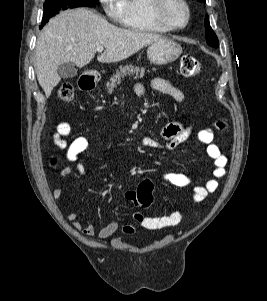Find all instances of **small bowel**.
I'll return each instance as SVG.
<instances>
[{
	"label": "small bowel",
	"instance_id": "obj_1",
	"mask_svg": "<svg viewBox=\"0 0 267 301\" xmlns=\"http://www.w3.org/2000/svg\"><path fill=\"white\" fill-rule=\"evenodd\" d=\"M149 86L162 94L168 95L176 102L184 100V93L174 83L164 78H154L150 80ZM134 90L137 95L142 96L146 92V84L139 82L135 85ZM72 127L68 122H60L57 124L53 134L54 144L60 149L66 150V158L69 162L75 164L76 170L80 175L86 173V165L81 154L88 148L89 142L86 137L80 136L67 141V137L71 134ZM192 133V126L185 125L181 122L174 121L166 124L161 130V140L146 136L142 139V144L147 147L172 151L182 143H184ZM197 139L200 143L206 146L207 155L213 160V178L206 181L204 185L196 186L192 192V201L195 203L202 202L208 195L214 193L218 188V179L226 175L227 157L222 154L219 146L215 143V133L212 128L206 127L197 133ZM72 173L71 167H63L60 174L64 177L70 176ZM164 180L176 187H185L191 184V178L183 173L164 172L162 174ZM53 197L56 200L63 198V191L59 188L53 191ZM127 201L138 204L135 198L134 191H127L123 194ZM133 220L140 223L141 226L147 229H161L178 225L183 219L184 214L180 211L172 212L162 217H144L140 213L133 214ZM66 218L72 223L73 227L81 231L85 236H93L96 232L95 226L91 223H84L79 220V215L76 212L66 213ZM118 222L110 221L103 226L99 232L100 239H107L118 230ZM135 231L132 224H127L122 227V232L131 234Z\"/></svg>",
	"mask_w": 267,
	"mask_h": 301
}]
</instances>
